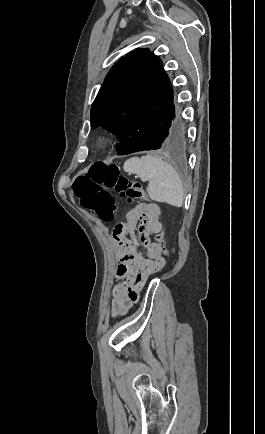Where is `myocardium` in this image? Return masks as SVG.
<instances>
[{"instance_id":"obj_1","label":"myocardium","mask_w":265,"mask_h":434,"mask_svg":"<svg viewBox=\"0 0 265 434\" xmlns=\"http://www.w3.org/2000/svg\"><path fill=\"white\" fill-rule=\"evenodd\" d=\"M93 146H94V148L99 149L102 146V143L101 142H95L93 144Z\"/></svg>"}]
</instances>
